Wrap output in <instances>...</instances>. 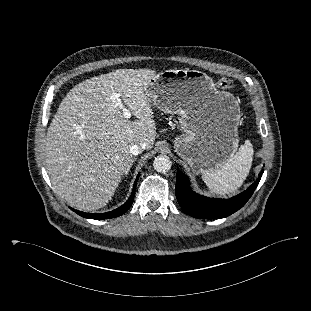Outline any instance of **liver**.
Masks as SVG:
<instances>
[{"mask_svg":"<svg viewBox=\"0 0 311 311\" xmlns=\"http://www.w3.org/2000/svg\"><path fill=\"white\" fill-rule=\"evenodd\" d=\"M154 76L151 69H117L79 83L62 100L48 128L45 160L54 189L71 206L104 207L132 163L130 147H153L156 127L146 87ZM113 93L136 120L124 118Z\"/></svg>","mask_w":311,"mask_h":311,"instance_id":"obj_1","label":"liver"}]
</instances>
